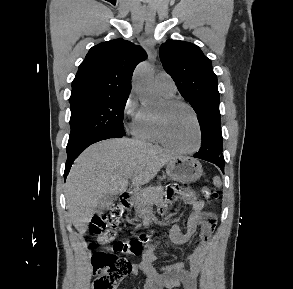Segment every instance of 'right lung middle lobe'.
Returning a JSON list of instances; mask_svg holds the SVG:
<instances>
[{
  "instance_id": "dd1d6c3e",
  "label": "right lung middle lobe",
  "mask_w": 293,
  "mask_h": 289,
  "mask_svg": "<svg viewBox=\"0 0 293 289\" xmlns=\"http://www.w3.org/2000/svg\"><path fill=\"white\" fill-rule=\"evenodd\" d=\"M128 95L120 97H84L70 101L71 133L67 147L102 134L125 136L123 113Z\"/></svg>"
}]
</instances>
